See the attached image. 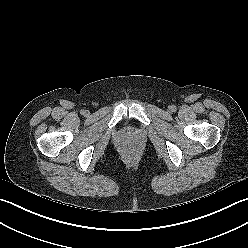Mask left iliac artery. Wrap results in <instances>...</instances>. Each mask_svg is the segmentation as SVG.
Masks as SVG:
<instances>
[{
    "mask_svg": "<svg viewBox=\"0 0 248 248\" xmlns=\"http://www.w3.org/2000/svg\"><path fill=\"white\" fill-rule=\"evenodd\" d=\"M176 110V106H172V111H175Z\"/></svg>",
    "mask_w": 248,
    "mask_h": 248,
    "instance_id": "obj_1",
    "label": "left iliac artery"
}]
</instances>
